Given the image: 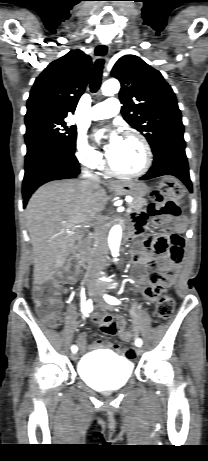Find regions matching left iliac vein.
Returning a JSON list of instances; mask_svg holds the SVG:
<instances>
[{"mask_svg": "<svg viewBox=\"0 0 208 461\" xmlns=\"http://www.w3.org/2000/svg\"><path fill=\"white\" fill-rule=\"evenodd\" d=\"M95 300H96L101 306L105 307L106 309H109V310L112 309V307H111L110 305H108V304L103 300V298H102V293H97L96 296H95ZM142 353H143V348H142V347H138V348L136 349V354L140 356V355H142Z\"/></svg>", "mask_w": 208, "mask_h": 461, "instance_id": "left-iliac-vein-1", "label": "left iliac vein"}]
</instances>
